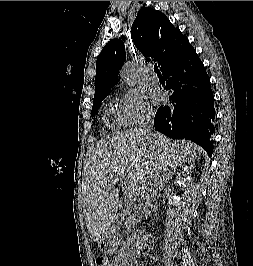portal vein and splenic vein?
I'll use <instances>...</instances> for the list:
<instances>
[{
  "instance_id": "18ae733b",
  "label": "portal vein and splenic vein",
  "mask_w": 253,
  "mask_h": 266,
  "mask_svg": "<svg viewBox=\"0 0 253 266\" xmlns=\"http://www.w3.org/2000/svg\"><path fill=\"white\" fill-rule=\"evenodd\" d=\"M118 180L117 179H115L114 180V182H117ZM128 188L129 189H131V191L133 192V193H136L138 190H137V188H138V185L136 184V183H131L129 186H128ZM132 196V194L129 196V197H131Z\"/></svg>"
}]
</instances>
